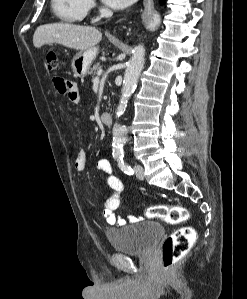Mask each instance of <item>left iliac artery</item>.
I'll return each mask as SVG.
<instances>
[{"label":"left iliac artery","instance_id":"1","mask_svg":"<svg viewBox=\"0 0 247 299\" xmlns=\"http://www.w3.org/2000/svg\"><path fill=\"white\" fill-rule=\"evenodd\" d=\"M118 166L119 168L126 174L131 175L134 173L133 169L124 162L123 155L118 158Z\"/></svg>","mask_w":247,"mask_h":299}]
</instances>
